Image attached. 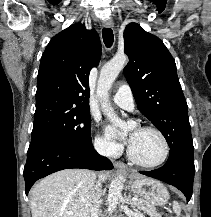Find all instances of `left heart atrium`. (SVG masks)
I'll use <instances>...</instances> for the list:
<instances>
[{"mask_svg": "<svg viewBox=\"0 0 211 217\" xmlns=\"http://www.w3.org/2000/svg\"><path fill=\"white\" fill-rule=\"evenodd\" d=\"M106 132L109 136L114 137V138H119L120 134L117 130V128L113 125V124H108L106 126ZM128 144L130 145L132 142V136H129V138L127 139Z\"/></svg>", "mask_w": 211, "mask_h": 217, "instance_id": "obj_1", "label": "left heart atrium"}]
</instances>
